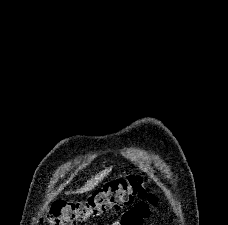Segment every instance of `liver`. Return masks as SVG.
Listing matches in <instances>:
<instances>
[{"label":"liver","mask_w":228,"mask_h":225,"mask_svg":"<svg viewBox=\"0 0 228 225\" xmlns=\"http://www.w3.org/2000/svg\"><path fill=\"white\" fill-rule=\"evenodd\" d=\"M111 167L109 169H105V171H101V173H98V175H95V177H92L90 181H87L86 185L82 187V189H77L76 193H88V191H92V189H95L97 187L98 183H101L103 181L104 177L110 173ZM65 195H70L69 193H65Z\"/></svg>","instance_id":"obj_1"}]
</instances>
